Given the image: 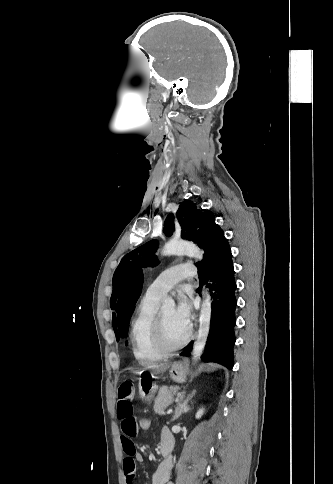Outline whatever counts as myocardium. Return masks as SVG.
Listing matches in <instances>:
<instances>
[{
    "instance_id": "f54148a6",
    "label": "myocardium",
    "mask_w": 333,
    "mask_h": 484,
    "mask_svg": "<svg viewBox=\"0 0 333 484\" xmlns=\"http://www.w3.org/2000/svg\"><path fill=\"white\" fill-rule=\"evenodd\" d=\"M192 338L191 328L188 330L186 336L176 344H170L166 338L165 328L161 312L156 313L153 324V340L157 349L164 355L178 351L186 346Z\"/></svg>"
}]
</instances>
